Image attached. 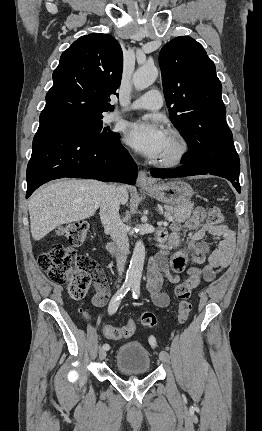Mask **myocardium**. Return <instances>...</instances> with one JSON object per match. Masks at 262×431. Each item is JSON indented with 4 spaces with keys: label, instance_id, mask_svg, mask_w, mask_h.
<instances>
[{
    "label": "myocardium",
    "instance_id": "obj_1",
    "mask_svg": "<svg viewBox=\"0 0 262 431\" xmlns=\"http://www.w3.org/2000/svg\"><path fill=\"white\" fill-rule=\"evenodd\" d=\"M168 135L172 138L175 144V150L172 154L164 156L156 161V164L160 167H176L185 162L188 158L191 147L187 138L179 131L175 129L168 130Z\"/></svg>",
    "mask_w": 262,
    "mask_h": 431
}]
</instances>
